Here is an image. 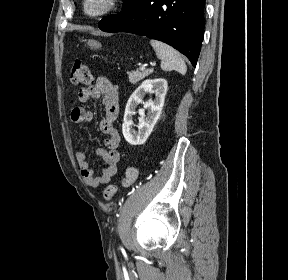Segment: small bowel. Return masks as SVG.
Masks as SVG:
<instances>
[{"instance_id": "1", "label": "small bowel", "mask_w": 288, "mask_h": 280, "mask_svg": "<svg viewBox=\"0 0 288 280\" xmlns=\"http://www.w3.org/2000/svg\"><path fill=\"white\" fill-rule=\"evenodd\" d=\"M79 101L86 104L94 99H101L105 107V115L99 123V128L106 135L104 148L96 150L105 163V168L100 175H95L87 160V152L80 147L76 152V160L84 183L91 188H97L110 182L116 175L120 162V134L114 126L119 114L118 88L109 79L99 76L95 83L82 87L78 92ZM71 121L75 124L92 121L93 113L82 106L74 107L70 114Z\"/></svg>"}]
</instances>
